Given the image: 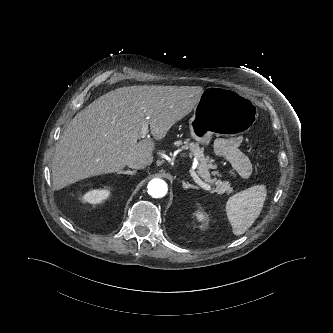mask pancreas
<instances>
[{
  "instance_id": "obj_1",
  "label": "pancreas",
  "mask_w": 333,
  "mask_h": 333,
  "mask_svg": "<svg viewBox=\"0 0 333 333\" xmlns=\"http://www.w3.org/2000/svg\"><path fill=\"white\" fill-rule=\"evenodd\" d=\"M178 145H182L184 148L190 149V155H194L198 160V175L208 183H215V192L218 194L232 192L231 184L228 181H215L211 179L210 169L213 168L212 160L209 157H205L203 149L199 148L197 144L191 143L188 140L181 142L178 141Z\"/></svg>"
}]
</instances>
